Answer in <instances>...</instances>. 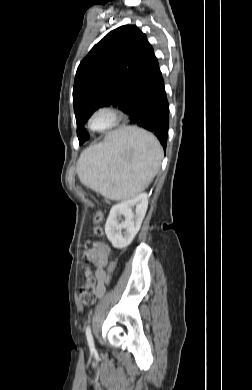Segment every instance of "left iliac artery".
<instances>
[{
  "label": "left iliac artery",
  "mask_w": 252,
  "mask_h": 390,
  "mask_svg": "<svg viewBox=\"0 0 252 390\" xmlns=\"http://www.w3.org/2000/svg\"><path fill=\"white\" fill-rule=\"evenodd\" d=\"M86 338L91 351H95L94 340L91 333L90 326L86 327Z\"/></svg>",
  "instance_id": "left-iliac-artery-1"
}]
</instances>
